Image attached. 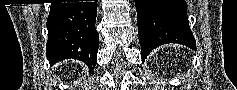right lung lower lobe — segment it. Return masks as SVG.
<instances>
[{
	"label": "right lung lower lobe",
	"instance_id": "98d812e1",
	"mask_svg": "<svg viewBox=\"0 0 237 90\" xmlns=\"http://www.w3.org/2000/svg\"><path fill=\"white\" fill-rule=\"evenodd\" d=\"M96 16V2L51 4L46 45L51 65L72 58L83 61L93 72L99 45Z\"/></svg>",
	"mask_w": 237,
	"mask_h": 90
}]
</instances>
